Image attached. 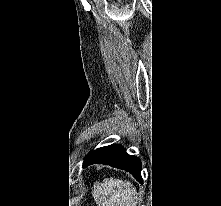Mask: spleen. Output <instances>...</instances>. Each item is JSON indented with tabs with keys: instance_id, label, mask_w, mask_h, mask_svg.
<instances>
[{
	"instance_id": "1",
	"label": "spleen",
	"mask_w": 221,
	"mask_h": 206,
	"mask_svg": "<svg viewBox=\"0 0 221 206\" xmlns=\"http://www.w3.org/2000/svg\"><path fill=\"white\" fill-rule=\"evenodd\" d=\"M136 193L130 181L109 178L93 191V196L98 206H136Z\"/></svg>"
}]
</instances>
